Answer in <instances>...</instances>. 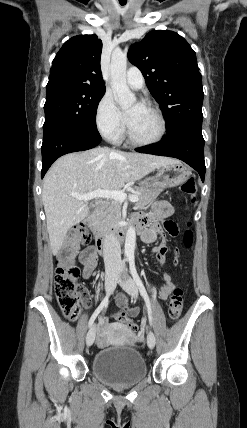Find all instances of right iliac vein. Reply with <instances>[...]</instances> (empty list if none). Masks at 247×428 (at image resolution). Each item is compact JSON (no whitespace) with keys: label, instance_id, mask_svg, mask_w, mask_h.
I'll use <instances>...</instances> for the list:
<instances>
[{"label":"right iliac vein","instance_id":"right-iliac-vein-1","mask_svg":"<svg viewBox=\"0 0 247 428\" xmlns=\"http://www.w3.org/2000/svg\"><path fill=\"white\" fill-rule=\"evenodd\" d=\"M116 276L117 275H116L115 271H110L106 275L105 287H106V292L108 294H110L114 290V288H115ZM95 336H96V326L94 324L89 329V331L87 333V336H86V344H87V346H91L94 343Z\"/></svg>","mask_w":247,"mask_h":428}]
</instances>
